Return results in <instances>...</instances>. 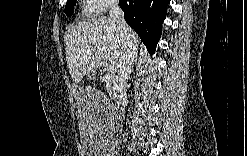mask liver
<instances>
[{"instance_id":"6515ba94","label":"liver","mask_w":247,"mask_h":156,"mask_svg":"<svg viewBox=\"0 0 247 156\" xmlns=\"http://www.w3.org/2000/svg\"><path fill=\"white\" fill-rule=\"evenodd\" d=\"M132 41L138 48L139 37L131 29ZM67 67L74 83L100 67L105 61L119 67L124 52V39L111 18L101 16L81 21L65 32Z\"/></svg>"}]
</instances>
